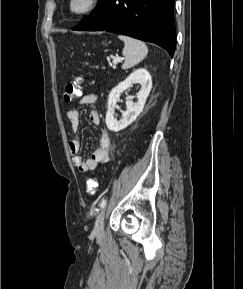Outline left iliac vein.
Here are the masks:
<instances>
[{"instance_id": "obj_1", "label": "left iliac vein", "mask_w": 243, "mask_h": 289, "mask_svg": "<svg viewBox=\"0 0 243 289\" xmlns=\"http://www.w3.org/2000/svg\"><path fill=\"white\" fill-rule=\"evenodd\" d=\"M104 218H105V210H102L100 214L97 216L94 226V233L96 235H100L104 230Z\"/></svg>"}]
</instances>
